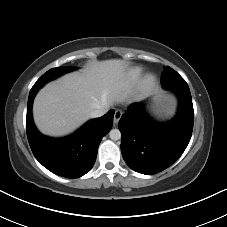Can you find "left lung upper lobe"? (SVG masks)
<instances>
[{
  "mask_svg": "<svg viewBox=\"0 0 227 227\" xmlns=\"http://www.w3.org/2000/svg\"><path fill=\"white\" fill-rule=\"evenodd\" d=\"M161 84L167 89L189 88L186 81L169 66L162 73Z\"/></svg>",
  "mask_w": 227,
  "mask_h": 227,
  "instance_id": "1",
  "label": "left lung upper lobe"
}]
</instances>
